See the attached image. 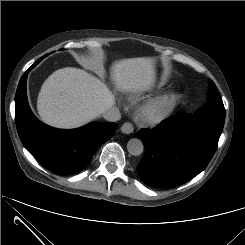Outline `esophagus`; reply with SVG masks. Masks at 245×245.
Returning <instances> with one entry per match:
<instances>
[{
    "instance_id": "1",
    "label": "esophagus",
    "mask_w": 245,
    "mask_h": 245,
    "mask_svg": "<svg viewBox=\"0 0 245 245\" xmlns=\"http://www.w3.org/2000/svg\"><path fill=\"white\" fill-rule=\"evenodd\" d=\"M121 131L124 134H131L134 131V126L131 122H126L121 126Z\"/></svg>"
}]
</instances>
